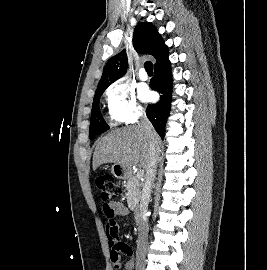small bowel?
<instances>
[{"label": "small bowel", "mask_w": 267, "mask_h": 270, "mask_svg": "<svg viewBox=\"0 0 267 270\" xmlns=\"http://www.w3.org/2000/svg\"><path fill=\"white\" fill-rule=\"evenodd\" d=\"M103 211L106 217V232L109 239V246L111 248V260L113 256H117L121 260L122 256L128 258L125 264L124 270H133V250L132 248L123 242H119L118 239V228L114 222V217H127L129 215V210L120 201L109 202L103 205Z\"/></svg>", "instance_id": "obj_1"}]
</instances>
